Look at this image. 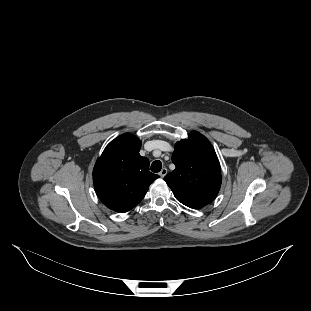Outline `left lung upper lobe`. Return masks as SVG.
Wrapping results in <instances>:
<instances>
[{"instance_id": "left-lung-upper-lobe-1", "label": "left lung upper lobe", "mask_w": 311, "mask_h": 311, "mask_svg": "<svg viewBox=\"0 0 311 311\" xmlns=\"http://www.w3.org/2000/svg\"><path fill=\"white\" fill-rule=\"evenodd\" d=\"M172 162L176 168L164 180L182 204L200 209L211 203L221 185V167L209 140L193 131L175 145Z\"/></svg>"}]
</instances>
